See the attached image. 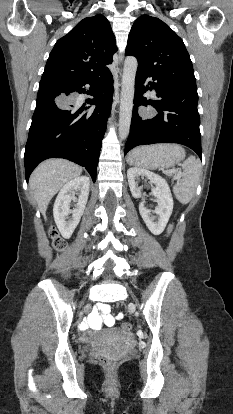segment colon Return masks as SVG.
I'll use <instances>...</instances> for the list:
<instances>
[{"mask_svg":"<svg viewBox=\"0 0 233 414\" xmlns=\"http://www.w3.org/2000/svg\"><path fill=\"white\" fill-rule=\"evenodd\" d=\"M171 230H172V227H169L168 233H170ZM49 235H50V238L52 239V244L54 248L57 251H62L65 248V241L59 236L58 232L54 228H52L49 231ZM61 273L66 274L65 271H62ZM120 328L123 331L128 332L131 330V324L129 322L123 321L120 324ZM99 362L102 366H104L107 369H112L115 365V360L107 356L100 357Z\"/></svg>","mask_w":233,"mask_h":414,"instance_id":"colon-1","label":"colon"}]
</instances>
